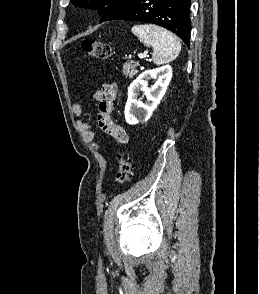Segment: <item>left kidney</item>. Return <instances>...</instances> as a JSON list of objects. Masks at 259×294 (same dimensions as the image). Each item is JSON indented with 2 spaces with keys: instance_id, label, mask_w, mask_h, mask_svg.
Returning a JSON list of instances; mask_svg holds the SVG:
<instances>
[{
  "instance_id": "left-kidney-1",
  "label": "left kidney",
  "mask_w": 259,
  "mask_h": 294,
  "mask_svg": "<svg viewBox=\"0 0 259 294\" xmlns=\"http://www.w3.org/2000/svg\"><path fill=\"white\" fill-rule=\"evenodd\" d=\"M172 78V68L165 65L141 73L128 88V99L125 105V120L130 125L146 122L157 108ZM156 79L149 88L148 81ZM139 91H143L147 100L143 103L138 99Z\"/></svg>"
}]
</instances>
